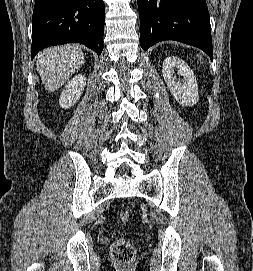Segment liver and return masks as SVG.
<instances>
[{
	"label": "liver",
	"instance_id": "1",
	"mask_svg": "<svg viewBox=\"0 0 253 271\" xmlns=\"http://www.w3.org/2000/svg\"><path fill=\"white\" fill-rule=\"evenodd\" d=\"M84 64L78 45H64L43 50L37 57V70L48 91L58 90Z\"/></svg>",
	"mask_w": 253,
	"mask_h": 271
}]
</instances>
